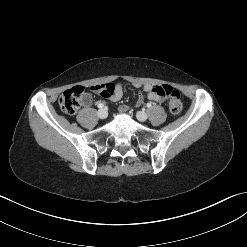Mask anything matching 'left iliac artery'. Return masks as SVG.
Instances as JSON below:
<instances>
[{"instance_id":"44dca946","label":"left iliac artery","mask_w":247,"mask_h":247,"mask_svg":"<svg viewBox=\"0 0 247 247\" xmlns=\"http://www.w3.org/2000/svg\"><path fill=\"white\" fill-rule=\"evenodd\" d=\"M148 108H150L152 105H151V103H147V105H146Z\"/></svg>"}]
</instances>
